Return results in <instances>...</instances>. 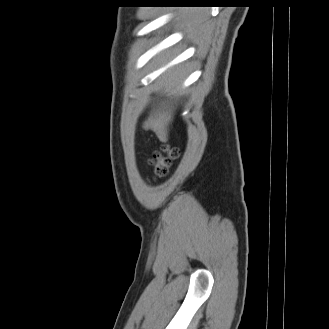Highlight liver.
Wrapping results in <instances>:
<instances>
[{
	"mask_svg": "<svg viewBox=\"0 0 329 329\" xmlns=\"http://www.w3.org/2000/svg\"><path fill=\"white\" fill-rule=\"evenodd\" d=\"M180 75L178 70H170L165 78L166 92L171 89H175L180 84ZM173 111L168 108L157 110L150 114L149 118L144 122L143 129H151L156 133L160 141L167 142L168 131L167 127L172 120Z\"/></svg>",
	"mask_w": 329,
	"mask_h": 329,
	"instance_id": "obj_1",
	"label": "liver"
}]
</instances>
